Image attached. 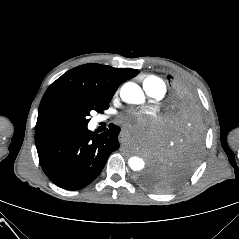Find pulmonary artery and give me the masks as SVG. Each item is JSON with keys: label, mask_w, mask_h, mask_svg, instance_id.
<instances>
[{"label": "pulmonary artery", "mask_w": 239, "mask_h": 239, "mask_svg": "<svg viewBox=\"0 0 239 239\" xmlns=\"http://www.w3.org/2000/svg\"><path fill=\"white\" fill-rule=\"evenodd\" d=\"M144 89L149 96L156 99H161L166 92V87L163 82H159L151 87L144 88Z\"/></svg>", "instance_id": "e3ab8cb5"}]
</instances>
